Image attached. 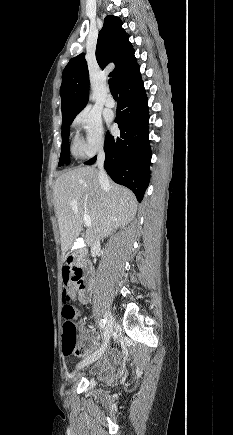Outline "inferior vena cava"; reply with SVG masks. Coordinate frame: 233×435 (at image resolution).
<instances>
[{"label":"inferior vena cava","mask_w":233,"mask_h":435,"mask_svg":"<svg viewBox=\"0 0 233 435\" xmlns=\"http://www.w3.org/2000/svg\"><path fill=\"white\" fill-rule=\"evenodd\" d=\"M105 154L103 151H100L97 158V165L99 168V178L101 181H105L107 179L106 172L103 168V162H104Z\"/></svg>","instance_id":"obj_1"}]
</instances>
